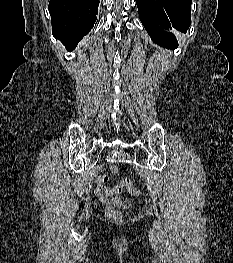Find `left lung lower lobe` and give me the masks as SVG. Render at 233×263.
<instances>
[{
    "label": "left lung lower lobe",
    "instance_id": "left-lung-lower-lobe-1",
    "mask_svg": "<svg viewBox=\"0 0 233 263\" xmlns=\"http://www.w3.org/2000/svg\"><path fill=\"white\" fill-rule=\"evenodd\" d=\"M139 18L154 43L175 48L177 30L186 33L191 25L192 0H136Z\"/></svg>",
    "mask_w": 233,
    "mask_h": 263
}]
</instances>
